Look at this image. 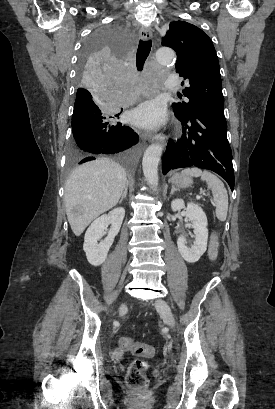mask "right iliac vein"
<instances>
[{"label":"right iliac vein","mask_w":275,"mask_h":409,"mask_svg":"<svg viewBox=\"0 0 275 409\" xmlns=\"http://www.w3.org/2000/svg\"><path fill=\"white\" fill-rule=\"evenodd\" d=\"M125 309H126V305H125V304H122L121 307L119 308V311L121 312V311H123V310H125Z\"/></svg>","instance_id":"1"}]
</instances>
